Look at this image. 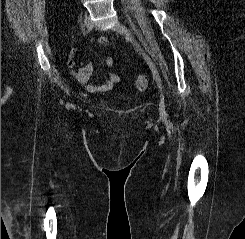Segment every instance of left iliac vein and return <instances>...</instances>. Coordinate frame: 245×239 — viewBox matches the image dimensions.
I'll use <instances>...</instances> for the list:
<instances>
[{
    "instance_id": "obj_1",
    "label": "left iliac vein",
    "mask_w": 245,
    "mask_h": 239,
    "mask_svg": "<svg viewBox=\"0 0 245 239\" xmlns=\"http://www.w3.org/2000/svg\"><path fill=\"white\" fill-rule=\"evenodd\" d=\"M112 29L115 32L119 33V34L124 35L128 41H130L131 43H133L136 46V48L139 50V52L144 57L146 63L148 64V66H149V68H150V70L152 72V75H153L154 79L156 80V82L158 84V87L160 89H162L161 78H160L159 72H158L155 64L153 63L151 58L144 52V50L139 45V43L136 41V39L134 38L132 32L119 21L115 22V24L113 25ZM159 109H160L161 113H165V104H164L163 97L160 99Z\"/></svg>"
}]
</instances>
